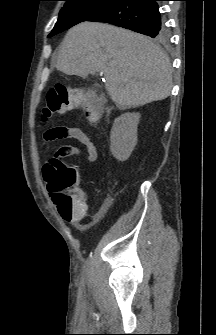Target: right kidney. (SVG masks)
Returning a JSON list of instances; mask_svg holds the SVG:
<instances>
[{"mask_svg": "<svg viewBox=\"0 0 216 335\" xmlns=\"http://www.w3.org/2000/svg\"><path fill=\"white\" fill-rule=\"evenodd\" d=\"M139 113H125L116 118L110 133V150L118 161H126L137 144Z\"/></svg>", "mask_w": 216, "mask_h": 335, "instance_id": "1", "label": "right kidney"}]
</instances>
